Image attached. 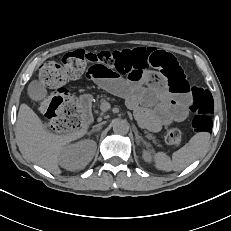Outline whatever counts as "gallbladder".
I'll return each mask as SVG.
<instances>
[{"label":"gallbladder","instance_id":"gallbladder-1","mask_svg":"<svg viewBox=\"0 0 231 231\" xmlns=\"http://www.w3.org/2000/svg\"><path fill=\"white\" fill-rule=\"evenodd\" d=\"M47 92L45 87L39 81H32L28 87V95L34 101L45 98Z\"/></svg>","mask_w":231,"mask_h":231}]
</instances>
